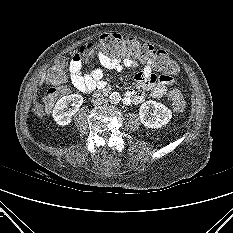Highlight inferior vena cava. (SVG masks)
I'll list each match as a JSON object with an SVG mask.
<instances>
[{"label": "inferior vena cava", "instance_id": "inferior-vena-cava-1", "mask_svg": "<svg viewBox=\"0 0 233 233\" xmlns=\"http://www.w3.org/2000/svg\"><path fill=\"white\" fill-rule=\"evenodd\" d=\"M96 105H102L107 103V99H105L104 97L102 98H96V100L94 101Z\"/></svg>", "mask_w": 233, "mask_h": 233}]
</instances>
